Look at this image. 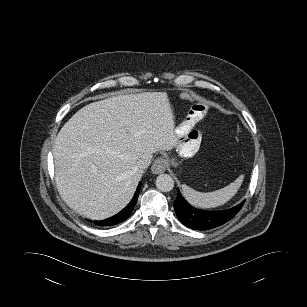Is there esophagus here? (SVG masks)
I'll return each instance as SVG.
<instances>
[{
  "label": "esophagus",
  "instance_id": "obj_1",
  "mask_svg": "<svg viewBox=\"0 0 307 307\" xmlns=\"http://www.w3.org/2000/svg\"><path fill=\"white\" fill-rule=\"evenodd\" d=\"M166 160L163 157H158L152 164L151 171L153 174H160L166 170Z\"/></svg>",
  "mask_w": 307,
  "mask_h": 307
}]
</instances>
